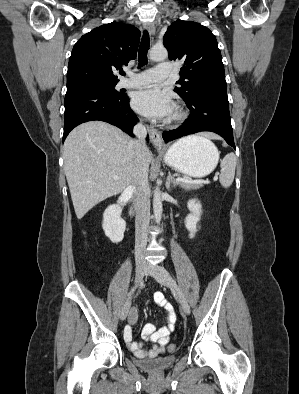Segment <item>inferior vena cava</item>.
I'll return each mask as SVG.
<instances>
[{
	"instance_id": "602c4592",
	"label": "inferior vena cava",
	"mask_w": 299,
	"mask_h": 394,
	"mask_svg": "<svg viewBox=\"0 0 299 394\" xmlns=\"http://www.w3.org/2000/svg\"><path fill=\"white\" fill-rule=\"evenodd\" d=\"M137 139L133 141L135 148L134 174L132 184L133 204L136 211L135 218V261L146 264L145 249L148 241V227L150 220V202L148 200V164L144 152L146 150L145 137L147 131L142 123L134 126Z\"/></svg>"
}]
</instances>
